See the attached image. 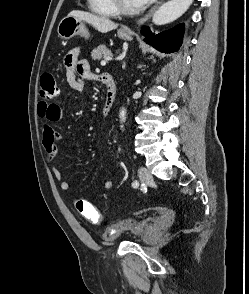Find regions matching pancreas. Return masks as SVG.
Segmentation results:
<instances>
[{"label": "pancreas", "mask_w": 249, "mask_h": 294, "mask_svg": "<svg viewBox=\"0 0 249 294\" xmlns=\"http://www.w3.org/2000/svg\"><path fill=\"white\" fill-rule=\"evenodd\" d=\"M112 56L111 51L104 45H100L91 52L93 60H100L102 57Z\"/></svg>", "instance_id": "obj_1"}]
</instances>
